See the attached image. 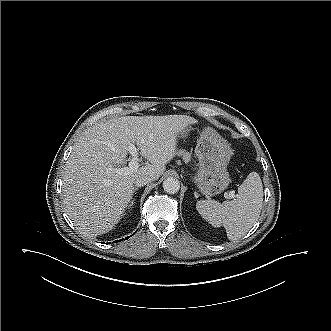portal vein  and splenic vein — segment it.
Masks as SVG:
<instances>
[{"label":"portal vein and splenic vein","instance_id":"portal-vein-and-splenic-vein-1","mask_svg":"<svg viewBox=\"0 0 331 331\" xmlns=\"http://www.w3.org/2000/svg\"><path fill=\"white\" fill-rule=\"evenodd\" d=\"M127 150L130 152V154L133 156L131 161L129 162L128 167L125 168H119L116 169V172L121 174L123 172H134L138 169L139 163H138V152L134 144H130L127 148ZM233 192L229 193V197H233Z\"/></svg>","mask_w":331,"mask_h":331}]
</instances>
